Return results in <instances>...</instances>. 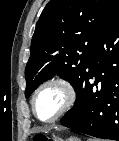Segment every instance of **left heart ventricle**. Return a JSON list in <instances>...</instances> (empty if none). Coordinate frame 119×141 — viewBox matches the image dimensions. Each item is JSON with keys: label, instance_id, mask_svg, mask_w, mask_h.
Wrapping results in <instances>:
<instances>
[{"label": "left heart ventricle", "instance_id": "obj_1", "mask_svg": "<svg viewBox=\"0 0 119 141\" xmlns=\"http://www.w3.org/2000/svg\"><path fill=\"white\" fill-rule=\"evenodd\" d=\"M64 100L62 90L56 86L44 89L36 99V112L41 119H49L61 108Z\"/></svg>", "mask_w": 119, "mask_h": 141}]
</instances>
